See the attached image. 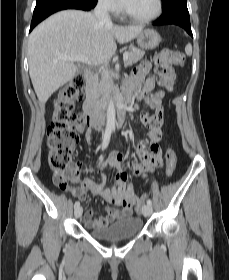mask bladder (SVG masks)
Here are the masks:
<instances>
[{
	"instance_id": "1",
	"label": "bladder",
	"mask_w": 229,
	"mask_h": 280,
	"mask_svg": "<svg viewBox=\"0 0 229 280\" xmlns=\"http://www.w3.org/2000/svg\"><path fill=\"white\" fill-rule=\"evenodd\" d=\"M144 222L135 216L120 218L112 224L102 228H88L89 233L107 241L129 239L136 237L142 230Z\"/></svg>"
}]
</instances>
